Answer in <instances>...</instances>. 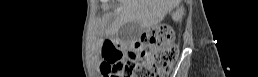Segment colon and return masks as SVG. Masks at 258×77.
<instances>
[{
	"label": "colon",
	"mask_w": 258,
	"mask_h": 77,
	"mask_svg": "<svg viewBox=\"0 0 258 77\" xmlns=\"http://www.w3.org/2000/svg\"><path fill=\"white\" fill-rule=\"evenodd\" d=\"M104 75L115 77H163L177 59L178 47L172 30L158 25L142 35L139 42L119 49L106 44L103 49Z\"/></svg>",
	"instance_id": "colon-1"
}]
</instances>
